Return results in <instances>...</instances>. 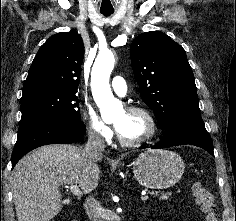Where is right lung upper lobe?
I'll use <instances>...</instances> for the list:
<instances>
[{
    "instance_id": "cb5924a9",
    "label": "right lung upper lobe",
    "mask_w": 236,
    "mask_h": 221,
    "mask_svg": "<svg viewBox=\"0 0 236 221\" xmlns=\"http://www.w3.org/2000/svg\"><path fill=\"white\" fill-rule=\"evenodd\" d=\"M83 57V41L77 32L51 36L32 62L23 94L39 90L77 92Z\"/></svg>"
}]
</instances>
